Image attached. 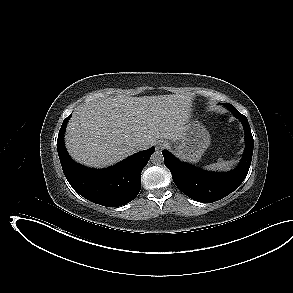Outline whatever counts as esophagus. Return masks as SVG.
<instances>
[{"label": "esophagus", "mask_w": 293, "mask_h": 293, "mask_svg": "<svg viewBox=\"0 0 293 293\" xmlns=\"http://www.w3.org/2000/svg\"><path fill=\"white\" fill-rule=\"evenodd\" d=\"M168 147H169L168 143H166V142H160L156 146V150H162V149H165V148H168Z\"/></svg>", "instance_id": "obj_1"}]
</instances>
